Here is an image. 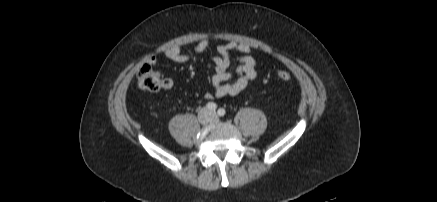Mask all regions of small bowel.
Instances as JSON below:
<instances>
[{"instance_id":"c3829d8e","label":"small bowel","mask_w":437,"mask_h":202,"mask_svg":"<svg viewBox=\"0 0 437 202\" xmlns=\"http://www.w3.org/2000/svg\"><path fill=\"white\" fill-rule=\"evenodd\" d=\"M207 47L208 41L202 40L196 45L195 52L202 53ZM231 52L239 53L238 65L234 72L230 70ZM251 52L250 45L243 42L229 41L217 47V55L211 58L215 69L211 79L213 91L205 93L207 100L237 95L247 88L249 82L255 79L258 74L257 62ZM161 53L165 58L176 63H186L192 58L190 54L183 53L178 45L164 49ZM150 62L155 64L157 59L153 57ZM172 86L171 79H163L162 88L170 89Z\"/></svg>"}]
</instances>
